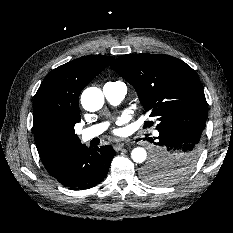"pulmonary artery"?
<instances>
[{"label": "pulmonary artery", "instance_id": "obj_1", "mask_svg": "<svg viewBox=\"0 0 233 233\" xmlns=\"http://www.w3.org/2000/svg\"><path fill=\"white\" fill-rule=\"evenodd\" d=\"M127 92L126 86L121 83L108 82L103 87L105 98L113 105L119 104L125 97ZM107 127V124L100 123L87 127L81 131V139L86 142L99 136Z\"/></svg>", "mask_w": 233, "mask_h": 233}]
</instances>
